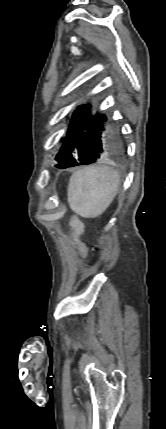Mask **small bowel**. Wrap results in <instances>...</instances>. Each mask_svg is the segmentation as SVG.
I'll return each instance as SVG.
<instances>
[{"label":"small bowel","instance_id":"obj_1","mask_svg":"<svg viewBox=\"0 0 166 429\" xmlns=\"http://www.w3.org/2000/svg\"><path fill=\"white\" fill-rule=\"evenodd\" d=\"M71 227L74 231V235H75V241L77 244V248H78V252L80 254V256H85L87 253V248L86 246L77 238L80 234L83 233L84 231V225L82 224V222L80 220H78L77 218H73L71 220Z\"/></svg>","mask_w":166,"mask_h":429}]
</instances>
